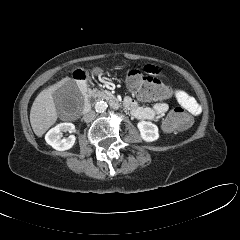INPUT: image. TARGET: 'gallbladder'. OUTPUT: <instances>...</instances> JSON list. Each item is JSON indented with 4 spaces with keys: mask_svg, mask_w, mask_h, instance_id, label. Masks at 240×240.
<instances>
[{
    "mask_svg": "<svg viewBox=\"0 0 240 240\" xmlns=\"http://www.w3.org/2000/svg\"><path fill=\"white\" fill-rule=\"evenodd\" d=\"M77 94V86L71 80L53 92L52 96L59 115L73 112L77 108L80 104Z\"/></svg>",
    "mask_w": 240,
    "mask_h": 240,
    "instance_id": "obj_1",
    "label": "gallbladder"
}]
</instances>
